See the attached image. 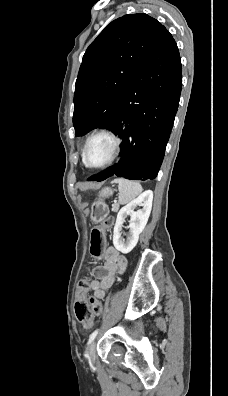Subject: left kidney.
I'll return each instance as SVG.
<instances>
[{"label":"left kidney","mask_w":228,"mask_h":396,"mask_svg":"<svg viewBox=\"0 0 228 396\" xmlns=\"http://www.w3.org/2000/svg\"><path fill=\"white\" fill-rule=\"evenodd\" d=\"M153 201V192L147 190L126 206L122 207L118 212L116 223L113 231L114 247L123 254H127L136 246L139 235L144 230L148 218L150 216ZM138 206H142L141 210L134 211ZM130 215V236L127 241L121 237L122 225L125 218Z\"/></svg>","instance_id":"5707ae66"}]
</instances>
